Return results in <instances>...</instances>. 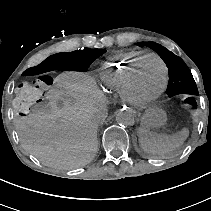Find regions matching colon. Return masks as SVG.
I'll list each match as a JSON object with an SVG mask.
<instances>
[{
  "label": "colon",
  "instance_id": "1",
  "mask_svg": "<svg viewBox=\"0 0 211 211\" xmlns=\"http://www.w3.org/2000/svg\"><path fill=\"white\" fill-rule=\"evenodd\" d=\"M52 85L53 78L49 75H41L35 80L19 84L13 101L15 113L26 116L37 103L45 98Z\"/></svg>",
  "mask_w": 211,
  "mask_h": 211
}]
</instances>
